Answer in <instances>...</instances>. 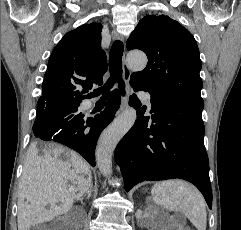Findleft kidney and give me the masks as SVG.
<instances>
[{"instance_id": "left-kidney-1", "label": "left kidney", "mask_w": 241, "mask_h": 230, "mask_svg": "<svg viewBox=\"0 0 241 230\" xmlns=\"http://www.w3.org/2000/svg\"><path fill=\"white\" fill-rule=\"evenodd\" d=\"M156 216V212L148 213V225L150 228L148 230H174V226L172 225H166V224H158V222H155L153 219ZM177 230H183L182 227H179Z\"/></svg>"}]
</instances>
